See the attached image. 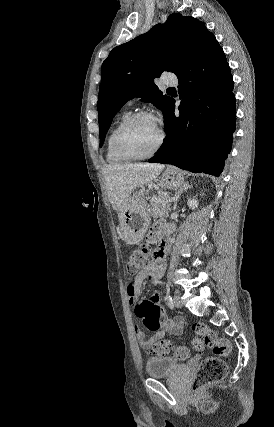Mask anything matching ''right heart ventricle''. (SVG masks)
Here are the masks:
<instances>
[{"label":"right heart ventricle","mask_w":274,"mask_h":427,"mask_svg":"<svg viewBox=\"0 0 274 427\" xmlns=\"http://www.w3.org/2000/svg\"><path fill=\"white\" fill-rule=\"evenodd\" d=\"M129 116L128 112H124L122 113L118 119L115 121V123L113 124V126L111 127V130L108 133L107 136V141H106V159L108 161V163L110 164H124L126 163V160L124 158H122L117 151L114 148L113 145V137H114V133L117 129V127L120 125V123L122 121H124L127 117Z\"/></svg>","instance_id":"1"}]
</instances>
